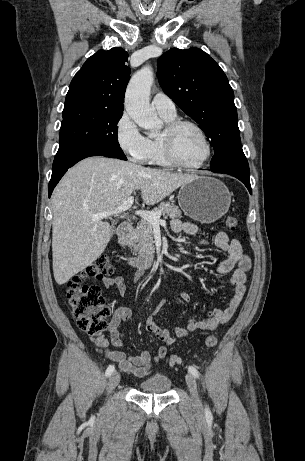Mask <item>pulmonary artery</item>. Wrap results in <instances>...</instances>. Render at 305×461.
<instances>
[{"label":"pulmonary artery","instance_id":"pulmonary-artery-1","mask_svg":"<svg viewBox=\"0 0 305 461\" xmlns=\"http://www.w3.org/2000/svg\"><path fill=\"white\" fill-rule=\"evenodd\" d=\"M152 105L161 115L175 116L176 107L174 102L163 92H157L152 98Z\"/></svg>","mask_w":305,"mask_h":461}]
</instances>
